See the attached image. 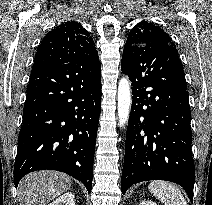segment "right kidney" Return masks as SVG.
I'll return each mask as SVG.
<instances>
[{"label":"right kidney","mask_w":212,"mask_h":205,"mask_svg":"<svg viewBox=\"0 0 212 205\" xmlns=\"http://www.w3.org/2000/svg\"><path fill=\"white\" fill-rule=\"evenodd\" d=\"M49 205H75L74 194L71 192H67Z\"/></svg>","instance_id":"1"}]
</instances>
